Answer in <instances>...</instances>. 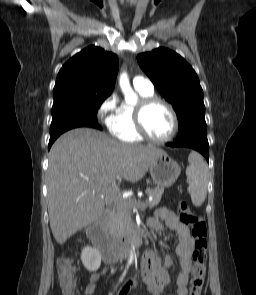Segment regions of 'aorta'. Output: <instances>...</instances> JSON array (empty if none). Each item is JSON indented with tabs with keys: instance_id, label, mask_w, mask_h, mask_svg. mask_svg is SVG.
<instances>
[{
	"instance_id": "1",
	"label": "aorta",
	"mask_w": 256,
	"mask_h": 295,
	"mask_svg": "<svg viewBox=\"0 0 256 295\" xmlns=\"http://www.w3.org/2000/svg\"><path fill=\"white\" fill-rule=\"evenodd\" d=\"M119 85L124 94L125 102L127 104H136L138 97L137 94L133 91L132 87L130 86L129 78L126 73H122L119 78ZM133 258V255H130V259Z\"/></svg>"
}]
</instances>
